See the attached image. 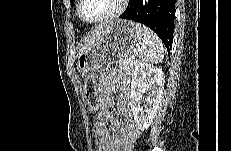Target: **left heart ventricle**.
I'll return each instance as SVG.
<instances>
[{
    "label": "left heart ventricle",
    "instance_id": "obj_1",
    "mask_svg": "<svg viewBox=\"0 0 231 151\" xmlns=\"http://www.w3.org/2000/svg\"><path fill=\"white\" fill-rule=\"evenodd\" d=\"M120 0H85L83 14L87 19H98L114 12Z\"/></svg>",
    "mask_w": 231,
    "mask_h": 151
}]
</instances>
